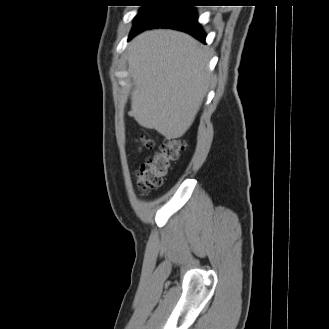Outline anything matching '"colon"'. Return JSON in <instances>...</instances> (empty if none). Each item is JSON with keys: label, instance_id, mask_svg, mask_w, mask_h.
<instances>
[{"label": "colon", "instance_id": "obj_1", "mask_svg": "<svg viewBox=\"0 0 329 329\" xmlns=\"http://www.w3.org/2000/svg\"><path fill=\"white\" fill-rule=\"evenodd\" d=\"M139 149H152L151 138L141 136ZM186 149V143L178 138H166L158 151L150 155L136 173V188L141 191L153 190L162 186L171 166L176 163Z\"/></svg>", "mask_w": 329, "mask_h": 329}]
</instances>
